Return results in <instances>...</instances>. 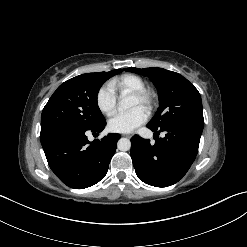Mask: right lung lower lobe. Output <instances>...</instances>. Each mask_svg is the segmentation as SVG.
<instances>
[{"label":"right lung lower lobe","mask_w":247,"mask_h":247,"mask_svg":"<svg viewBox=\"0 0 247 247\" xmlns=\"http://www.w3.org/2000/svg\"><path fill=\"white\" fill-rule=\"evenodd\" d=\"M106 121L90 129L59 126L41 130L40 141L55 175L74 189L90 187L106 175L119 134L90 142L85 132L103 131Z\"/></svg>","instance_id":"obj_1"}]
</instances>
